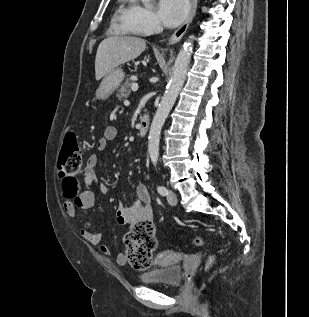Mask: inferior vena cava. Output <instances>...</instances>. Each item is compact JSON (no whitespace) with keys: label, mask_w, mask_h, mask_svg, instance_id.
<instances>
[{"label":"inferior vena cava","mask_w":309,"mask_h":317,"mask_svg":"<svg viewBox=\"0 0 309 317\" xmlns=\"http://www.w3.org/2000/svg\"><path fill=\"white\" fill-rule=\"evenodd\" d=\"M158 30L160 31V30H161V27H158Z\"/></svg>","instance_id":"1"}]
</instances>
